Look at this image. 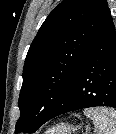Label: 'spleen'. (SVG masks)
<instances>
[{"label":"spleen","instance_id":"1","mask_svg":"<svg viewBox=\"0 0 116 134\" xmlns=\"http://www.w3.org/2000/svg\"><path fill=\"white\" fill-rule=\"evenodd\" d=\"M95 126L96 134H116V110L110 108H89L84 110Z\"/></svg>","mask_w":116,"mask_h":134}]
</instances>
